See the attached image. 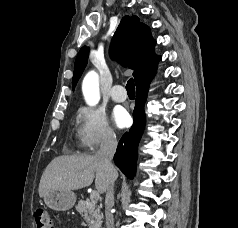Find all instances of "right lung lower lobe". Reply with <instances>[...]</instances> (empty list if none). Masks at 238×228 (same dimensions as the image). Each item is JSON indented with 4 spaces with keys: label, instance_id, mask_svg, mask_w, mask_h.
Returning a JSON list of instances; mask_svg holds the SVG:
<instances>
[{
    "label": "right lung lower lobe",
    "instance_id": "1",
    "mask_svg": "<svg viewBox=\"0 0 238 228\" xmlns=\"http://www.w3.org/2000/svg\"><path fill=\"white\" fill-rule=\"evenodd\" d=\"M154 74V73H153ZM150 75L136 85V105L133 111L134 123L130 131L121 138L114 162L117 167L130 179L134 177L137 161V147L145 126L144 104L147 98Z\"/></svg>",
    "mask_w": 238,
    "mask_h": 228
}]
</instances>
